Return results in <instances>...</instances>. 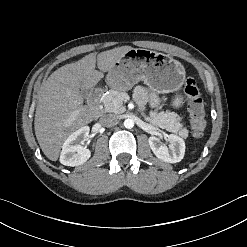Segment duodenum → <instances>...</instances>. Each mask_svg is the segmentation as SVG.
<instances>
[{
	"label": "duodenum",
	"instance_id": "duodenum-1",
	"mask_svg": "<svg viewBox=\"0 0 247 247\" xmlns=\"http://www.w3.org/2000/svg\"><path fill=\"white\" fill-rule=\"evenodd\" d=\"M103 94V90L99 87L93 89L89 96V101L93 106H96Z\"/></svg>",
	"mask_w": 247,
	"mask_h": 247
}]
</instances>
